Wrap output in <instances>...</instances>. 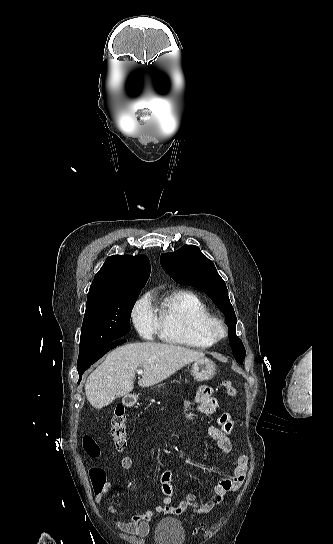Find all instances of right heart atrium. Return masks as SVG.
Returning a JSON list of instances; mask_svg holds the SVG:
<instances>
[{"label":"right heart atrium","mask_w":333,"mask_h":544,"mask_svg":"<svg viewBox=\"0 0 333 544\" xmlns=\"http://www.w3.org/2000/svg\"><path fill=\"white\" fill-rule=\"evenodd\" d=\"M134 326L139 334L151 339L158 331L159 324L148 297L141 298L135 305L132 313Z\"/></svg>","instance_id":"d8ad5b80"}]
</instances>
